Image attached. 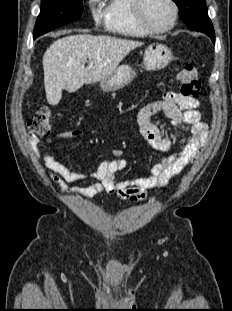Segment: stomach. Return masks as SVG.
<instances>
[{"label": "stomach", "mask_w": 232, "mask_h": 311, "mask_svg": "<svg viewBox=\"0 0 232 311\" xmlns=\"http://www.w3.org/2000/svg\"><path fill=\"white\" fill-rule=\"evenodd\" d=\"M173 59L172 51L163 44L153 43L144 51L143 64L147 71H157L169 65ZM135 77L129 65H121L109 77L99 82L103 91H116L128 85Z\"/></svg>", "instance_id": "stomach-1"}]
</instances>
